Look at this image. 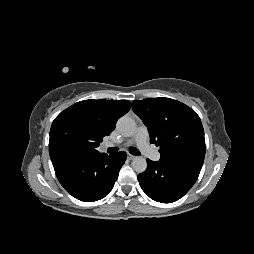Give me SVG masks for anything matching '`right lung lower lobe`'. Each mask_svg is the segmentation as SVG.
I'll use <instances>...</instances> for the list:
<instances>
[{
    "label": "right lung lower lobe",
    "instance_id": "98d812e1",
    "mask_svg": "<svg viewBox=\"0 0 254 254\" xmlns=\"http://www.w3.org/2000/svg\"><path fill=\"white\" fill-rule=\"evenodd\" d=\"M126 154L63 156L52 160L61 185L75 198L93 202L104 198L113 188Z\"/></svg>",
    "mask_w": 254,
    "mask_h": 254
}]
</instances>
